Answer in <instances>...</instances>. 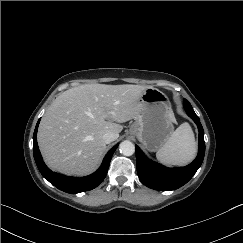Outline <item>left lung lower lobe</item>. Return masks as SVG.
<instances>
[{"instance_id":"0a47b994","label":"left lung lower lobe","mask_w":243,"mask_h":243,"mask_svg":"<svg viewBox=\"0 0 243 243\" xmlns=\"http://www.w3.org/2000/svg\"><path fill=\"white\" fill-rule=\"evenodd\" d=\"M186 113L197 124L199 131V147L196 159L185 167L167 168L149 161L136 146L137 173L140 181L147 187L159 191L175 190L186 184L201 166L205 154L204 131L199 117L190 103L184 99Z\"/></svg>"}]
</instances>
